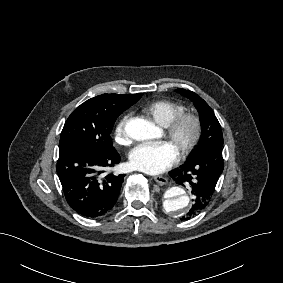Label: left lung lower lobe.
<instances>
[{"label": "left lung lower lobe", "mask_w": 283, "mask_h": 283, "mask_svg": "<svg viewBox=\"0 0 283 283\" xmlns=\"http://www.w3.org/2000/svg\"><path fill=\"white\" fill-rule=\"evenodd\" d=\"M223 168L222 147H213L188 159L180 169L170 172L178 184L187 183L192 187L193 205L182 220L196 216L209 204Z\"/></svg>", "instance_id": "0a47b994"}]
</instances>
